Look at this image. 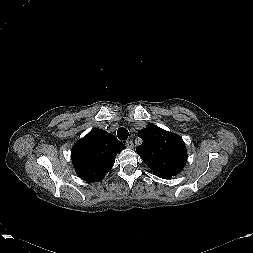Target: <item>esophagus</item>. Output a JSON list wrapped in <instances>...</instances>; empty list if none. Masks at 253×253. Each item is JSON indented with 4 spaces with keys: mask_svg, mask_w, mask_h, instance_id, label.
<instances>
[{
    "mask_svg": "<svg viewBox=\"0 0 253 253\" xmlns=\"http://www.w3.org/2000/svg\"><path fill=\"white\" fill-rule=\"evenodd\" d=\"M126 146H127V148L132 149L134 147L133 141L132 140L126 141Z\"/></svg>",
    "mask_w": 253,
    "mask_h": 253,
    "instance_id": "1",
    "label": "esophagus"
}]
</instances>
